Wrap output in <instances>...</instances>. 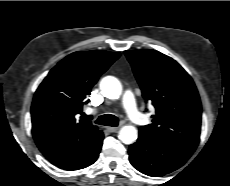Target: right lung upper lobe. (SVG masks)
<instances>
[{"label": "right lung upper lobe", "mask_w": 230, "mask_h": 186, "mask_svg": "<svg viewBox=\"0 0 230 186\" xmlns=\"http://www.w3.org/2000/svg\"><path fill=\"white\" fill-rule=\"evenodd\" d=\"M119 56L103 50L74 52L38 87L31 106L32 133L54 165L64 168L74 163L102 137V131L88 119L78 117L92 86Z\"/></svg>", "instance_id": "1"}]
</instances>
